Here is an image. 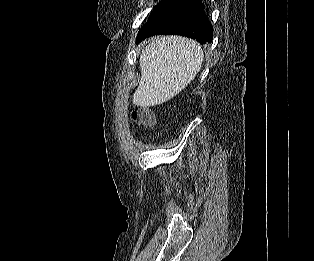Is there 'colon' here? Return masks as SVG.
Here are the masks:
<instances>
[{
    "label": "colon",
    "instance_id": "5ec220e1",
    "mask_svg": "<svg viewBox=\"0 0 314 261\" xmlns=\"http://www.w3.org/2000/svg\"><path fill=\"white\" fill-rule=\"evenodd\" d=\"M131 117L137 124L144 127L152 126L155 121L153 112L146 107L132 111Z\"/></svg>",
    "mask_w": 314,
    "mask_h": 261
}]
</instances>
